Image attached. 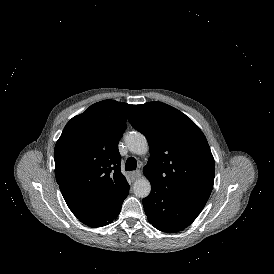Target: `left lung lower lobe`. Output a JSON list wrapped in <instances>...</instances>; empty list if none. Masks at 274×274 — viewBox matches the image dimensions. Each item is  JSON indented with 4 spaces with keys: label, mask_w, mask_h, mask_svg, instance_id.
<instances>
[{
    "label": "left lung lower lobe",
    "mask_w": 274,
    "mask_h": 274,
    "mask_svg": "<svg viewBox=\"0 0 274 274\" xmlns=\"http://www.w3.org/2000/svg\"><path fill=\"white\" fill-rule=\"evenodd\" d=\"M148 221L158 230L178 232L189 226L202 211L204 203L182 198L151 184L143 199Z\"/></svg>",
    "instance_id": "0a47b994"
}]
</instances>
